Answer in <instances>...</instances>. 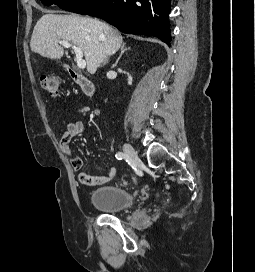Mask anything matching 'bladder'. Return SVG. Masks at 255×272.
I'll use <instances>...</instances> for the list:
<instances>
[{
  "label": "bladder",
  "mask_w": 255,
  "mask_h": 272,
  "mask_svg": "<svg viewBox=\"0 0 255 272\" xmlns=\"http://www.w3.org/2000/svg\"><path fill=\"white\" fill-rule=\"evenodd\" d=\"M91 203L97 209L108 214H117L133 206L134 195L118 186H102L95 189L90 196Z\"/></svg>",
  "instance_id": "obj_1"
}]
</instances>
